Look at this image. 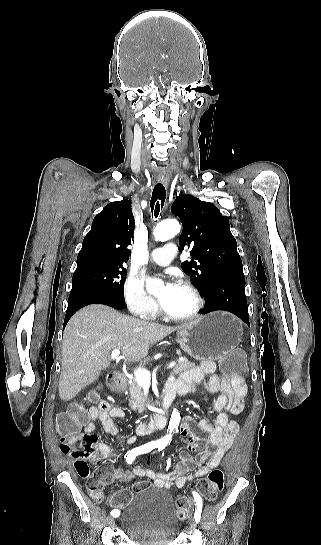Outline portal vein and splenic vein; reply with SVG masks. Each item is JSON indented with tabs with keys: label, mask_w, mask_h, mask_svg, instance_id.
Masks as SVG:
<instances>
[{
	"label": "portal vein and splenic vein",
	"mask_w": 321,
	"mask_h": 545,
	"mask_svg": "<svg viewBox=\"0 0 321 545\" xmlns=\"http://www.w3.org/2000/svg\"><path fill=\"white\" fill-rule=\"evenodd\" d=\"M119 355L120 349H114V351L111 353V359H118ZM173 366H176V363L171 361L170 365L166 367V370L173 368ZM134 375L138 385H141V387H149L151 383V373H149L147 369H136V371H134Z\"/></svg>",
	"instance_id": "obj_1"
}]
</instances>
